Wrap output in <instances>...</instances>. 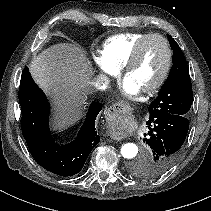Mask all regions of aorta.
Segmentation results:
<instances>
[{"label": "aorta", "instance_id": "obj_1", "mask_svg": "<svg viewBox=\"0 0 211 211\" xmlns=\"http://www.w3.org/2000/svg\"><path fill=\"white\" fill-rule=\"evenodd\" d=\"M121 154L126 159H133L138 154V147L134 143H126L121 147Z\"/></svg>", "mask_w": 211, "mask_h": 211}]
</instances>
